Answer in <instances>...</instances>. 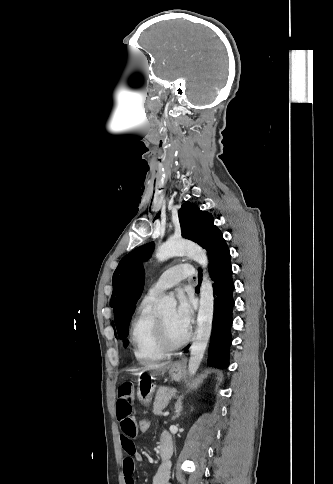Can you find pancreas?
<instances>
[{"instance_id": "obj_1", "label": "pancreas", "mask_w": 333, "mask_h": 484, "mask_svg": "<svg viewBox=\"0 0 333 484\" xmlns=\"http://www.w3.org/2000/svg\"><path fill=\"white\" fill-rule=\"evenodd\" d=\"M175 390H169L167 387H160L156 393L153 403L154 415H162V410L167 406Z\"/></svg>"}]
</instances>
